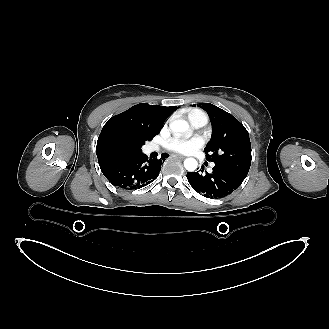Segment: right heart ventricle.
<instances>
[{
  "label": "right heart ventricle",
  "mask_w": 329,
  "mask_h": 329,
  "mask_svg": "<svg viewBox=\"0 0 329 329\" xmlns=\"http://www.w3.org/2000/svg\"><path fill=\"white\" fill-rule=\"evenodd\" d=\"M199 117H207L206 114L201 110H192L188 113V119L190 122Z\"/></svg>",
  "instance_id": "obj_1"
}]
</instances>
